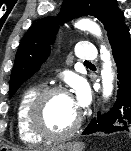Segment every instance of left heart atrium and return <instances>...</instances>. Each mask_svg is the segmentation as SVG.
<instances>
[{"instance_id":"left-heart-atrium-1","label":"left heart atrium","mask_w":131,"mask_h":151,"mask_svg":"<svg viewBox=\"0 0 131 151\" xmlns=\"http://www.w3.org/2000/svg\"><path fill=\"white\" fill-rule=\"evenodd\" d=\"M72 99L76 109L80 111L88 101V91L86 87L83 85H78L75 88V96Z\"/></svg>"}]
</instances>
